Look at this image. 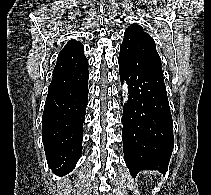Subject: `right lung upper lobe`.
Here are the masks:
<instances>
[{
    "mask_svg": "<svg viewBox=\"0 0 211 195\" xmlns=\"http://www.w3.org/2000/svg\"><path fill=\"white\" fill-rule=\"evenodd\" d=\"M88 64L81 42L74 39L67 42L58 55L53 77L68 74Z\"/></svg>",
    "mask_w": 211,
    "mask_h": 195,
    "instance_id": "right-lung-upper-lobe-1",
    "label": "right lung upper lobe"
}]
</instances>
